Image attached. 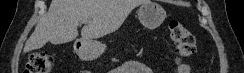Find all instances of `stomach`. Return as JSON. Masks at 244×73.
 Returning <instances> with one entry per match:
<instances>
[{
  "label": "stomach",
  "mask_w": 244,
  "mask_h": 73,
  "mask_svg": "<svg viewBox=\"0 0 244 73\" xmlns=\"http://www.w3.org/2000/svg\"><path fill=\"white\" fill-rule=\"evenodd\" d=\"M138 17L143 26L157 28L166 18V12L156 2L146 1L138 10ZM74 49L80 59L90 61L97 59L106 49V45L98 41H83L80 45L74 44Z\"/></svg>",
  "instance_id": "obj_1"
}]
</instances>
